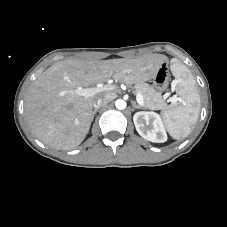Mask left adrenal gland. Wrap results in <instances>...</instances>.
I'll return each mask as SVG.
<instances>
[{
    "mask_svg": "<svg viewBox=\"0 0 227 227\" xmlns=\"http://www.w3.org/2000/svg\"><path fill=\"white\" fill-rule=\"evenodd\" d=\"M133 107L136 108V109H144V107L136 104L135 102L132 103Z\"/></svg>",
    "mask_w": 227,
    "mask_h": 227,
    "instance_id": "1",
    "label": "left adrenal gland"
}]
</instances>
